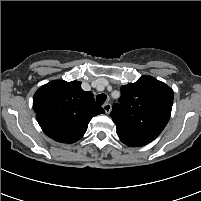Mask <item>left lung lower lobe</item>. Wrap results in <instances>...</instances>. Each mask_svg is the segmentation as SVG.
<instances>
[{
	"instance_id": "1",
	"label": "left lung lower lobe",
	"mask_w": 201,
	"mask_h": 201,
	"mask_svg": "<svg viewBox=\"0 0 201 201\" xmlns=\"http://www.w3.org/2000/svg\"><path fill=\"white\" fill-rule=\"evenodd\" d=\"M121 141L126 144L127 146H131V147H139V146H144L148 143L142 142V141H136V140H132V139H127L124 137H120Z\"/></svg>"
}]
</instances>
